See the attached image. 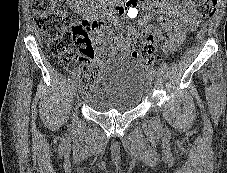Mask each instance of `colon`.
Segmentation results:
<instances>
[{
  "mask_svg": "<svg viewBox=\"0 0 227 173\" xmlns=\"http://www.w3.org/2000/svg\"><path fill=\"white\" fill-rule=\"evenodd\" d=\"M217 1L199 0V13L203 17H210ZM61 3L62 0H32L35 23L52 55L63 64H69L75 59L83 63L81 88L86 91L97 74L92 40L108 35L111 30L107 23L100 20L73 18L61 8ZM161 42V37L146 42L136 39L133 42V56L145 66H151L155 60L153 44Z\"/></svg>",
  "mask_w": 227,
  "mask_h": 173,
  "instance_id": "5ec220e1",
  "label": "colon"
}]
</instances>
